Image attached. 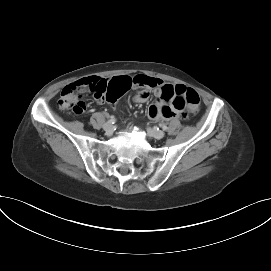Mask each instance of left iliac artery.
I'll use <instances>...</instances> for the list:
<instances>
[{
    "instance_id": "obj_1",
    "label": "left iliac artery",
    "mask_w": 271,
    "mask_h": 271,
    "mask_svg": "<svg viewBox=\"0 0 271 271\" xmlns=\"http://www.w3.org/2000/svg\"><path fill=\"white\" fill-rule=\"evenodd\" d=\"M162 129L166 131L168 130V127L166 125H162Z\"/></svg>"
}]
</instances>
